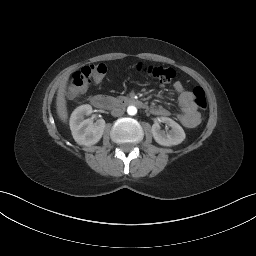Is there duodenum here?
Segmentation results:
<instances>
[{
    "mask_svg": "<svg viewBox=\"0 0 256 256\" xmlns=\"http://www.w3.org/2000/svg\"><path fill=\"white\" fill-rule=\"evenodd\" d=\"M123 103L127 105L142 107V108L147 107V105L143 101L136 98H127L123 101ZM91 104L97 109H105L111 106L112 101L104 95L96 94L91 97Z\"/></svg>",
    "mask_w": 256,
    "mask_h": 256,
    "instance_id": "410a0bca",
    "label": "duodenum"
}]
</instances>
